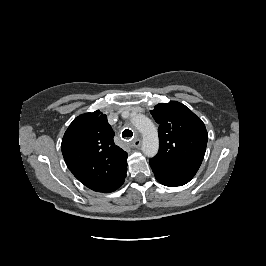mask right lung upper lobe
Instances as JSON below:
<instances>
[{"mask_svg":"<svg viewBox=\"0 0 266 266\" xmlns=\"http://www.w3.org/2000/svg\"><path fill=\"white\" fill-rule=\"evenodd\" d=\"M107 116L95 112L76 117L66 130L62 154L72 174L88 188L113 192L125 180L127 153L116 146Z\"/></svg>","mask_w":266,"mask_h":266,"instance_id":"right-lung-upper-lobe-1","label":"right lung upper lobe"}]
</instances>
